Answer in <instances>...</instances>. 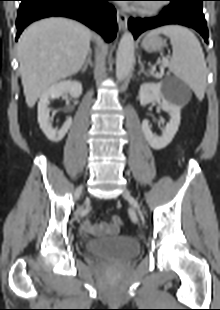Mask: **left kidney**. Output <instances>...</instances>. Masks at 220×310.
<instances>
[{"instance_id":"1","label":"left kidney","mask_w":220,"mask_h":310,"mask_svg":"<svg viewBox=\"0 0 220 310\" xmlns=\"http://www.w3.org/2000/svg\"><path fill=\"white\" fill-rule=\"evenodd\" d=\"M139 100L142 106L156 101L162 110L170 115V121L166 125L161 136L152 133L148 120L142 122V131L149 145L156 150L165 148L174 138L180 124L181 104L168 90L164 91L160 83H144L139 90Z\"/></svg>"}]
</instances>
